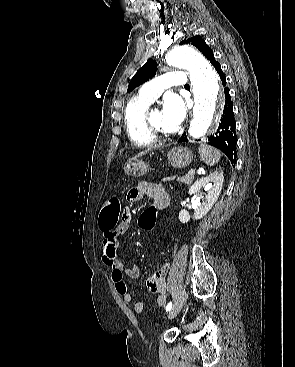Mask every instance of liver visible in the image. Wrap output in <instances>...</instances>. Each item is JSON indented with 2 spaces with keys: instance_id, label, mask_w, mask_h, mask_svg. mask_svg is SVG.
I'll return each instance as SVG.
<instances>
[{
  "instance_id": "6515ba94",
  "label": "liver",
  "mask_w": 295,
  "mask_h": 367,
  "mask_svg": "<svg viewBox=\"0 0 295 367\" xmlns=\"http://www.w3.org/2000/svg\"><path fill=\"white\" fill-rule=\"evenodd\" d=\"M150 151H152V148H148V149H146L145 151L139 152V153L134 157V159H135V158H137V157H142V156L146 155V154H147L148 152H150Z\"/></svg>"
}]
</instances>
